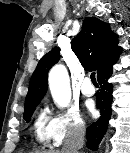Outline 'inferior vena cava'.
<instances>
[{
	"mask_svg": "<svg viewBox=\"0 0 130 153\" xmlns=\"http://www.w3.org/2000/svg\"><path fill=\"white\" fill-rule=\"evenodd\" d=\"M85 136V125L78 124L71 129L64 140L62 153H78L83 146Z\"/></svg>",
	"mask_w": 130,
	"mask_h": 153,
	"instance_id": "inferior-vena-cava-1",
	"label": "inferior vena cava"
}]
</instances>
